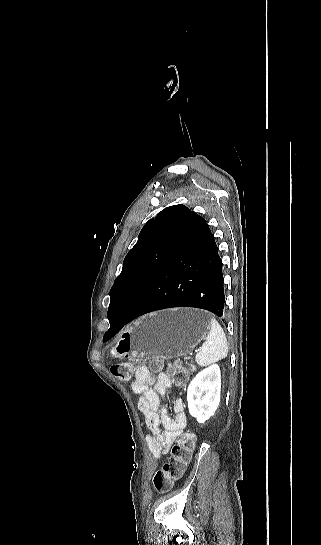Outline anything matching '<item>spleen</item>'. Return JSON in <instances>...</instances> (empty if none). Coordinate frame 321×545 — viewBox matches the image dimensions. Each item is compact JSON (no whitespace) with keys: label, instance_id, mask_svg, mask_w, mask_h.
Segmentation results:
<instances>
[{"label":"spleen","instance_id":"spleen-1","mask_svg":"<svg viewBox=\"0 0 321 545\" xmlns=\"http://www.w3.org/2000/svg\"><path fill=\"white\" fill-rule=\"evenodd\" d=\"M211 329L203 343L195 361L199 367H208L218 363L228 355V345L225 333L216 319H211Z\"/></svg>","mask_w":321,"mask_h":545}]
</instances>
